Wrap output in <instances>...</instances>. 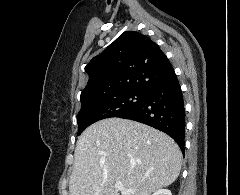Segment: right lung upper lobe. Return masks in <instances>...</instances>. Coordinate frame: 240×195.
<instances>
[{
  "mask_svg": "<svg viewBox=\"0 0 240 195\" xmlns=\"http://www.w3.org/2000/svg\"><path fill=\"white\" fill-rule=\"evenodd\" d=\"M89 80L81 100L110 95L120 90L147 92L169 78L174 69L159 46L147 36L126 31L86 66Z\"/></svg>",
  "mask_w": 240,
  "mask_h": 195,
  "instance_id": "cb5924a9",
  "label": "right lung upper lobe"
}]
</instances>
